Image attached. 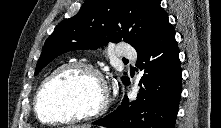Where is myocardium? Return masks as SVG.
<instances>
[{"mask_svg": "<svg viewBox=\"0 0 221 128\" xmlns=\"http://www.w3.org/2000/svg\"><path fill=\"white\" fill-rule=\"evenodd\" d=\"M79 69L91 73L96 78L97 82L99 83L101 87V92H102L100 102L96 106H94L92 109H86L83 112H80L75 115H68L66 117H57V118H51V119L45 118L40 111V102H41V98H42L45 88L54 79L62 75H65L70 71L79 70ZM108 105H109V94H108L107 85L103 76L99 72V70L89 63L76 61V62H70L65 65H62L61 67H59L58 69L50 73L41 82V84L39 85L37 89L36 96L34 99V112H35L37 119L43 123L65 124V123H71V122L81 121L85 119L97 118L106 112Z\"/></svg>", "mask_w": 221, "mask_h": 128, "instance_id": "obj_1", "label": "myocardium"}]
</instances>
